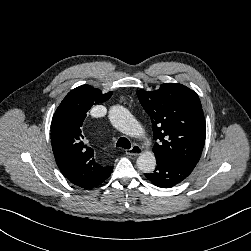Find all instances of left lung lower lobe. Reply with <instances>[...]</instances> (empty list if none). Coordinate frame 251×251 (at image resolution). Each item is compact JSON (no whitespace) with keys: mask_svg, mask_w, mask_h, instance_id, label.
I'll use <instances>...</instances> for the list:
<instances>
[{"mask_svg":"<svg viewBox=\"0 0 251 251\" xmlns=\"http://www.w3.org/2000/svg\"><path fill=\"white\" fill-rule=\"evenodd\" d=\"M157 166L153 173L145 174L154 185L161 188L173 187L186 179L192 170L181 164L156 158Z\"/></svg>","mask_w":251,"mask_h":251,"instance_id":"obj_1","label":"left lung lower lobe"}]
</instances>
